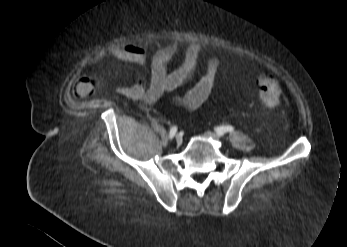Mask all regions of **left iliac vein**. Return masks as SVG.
<instances>
[{"mask_svg": "<svg viewBox=\"0 0 347 247\" xmlns=\"http://www.w3.org/2000/svg\"><path fill=\"white\" fill-rule=\"evenodd\" d=\"M205 136L210 137V138H212L214 140H219L220 139V135H218V134H216L214 132H211V131L205 132Z\"/></svg>", "mask_w": 347, "mask_h": 247, "instance_id": "obj_1", "label": "left iliac vein"}]
</instances>
